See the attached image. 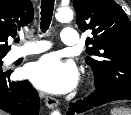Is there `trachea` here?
Returning <instances> with one entry per match:
<instances>
[{"instance_id": "1", "label": "trachea", "mask_w": 131, "mask_h": 115, "mask_svg": "<svg viewBox=\"0 0 131 115\" xmlns=\"http://www.w3.org/2000/svg\"><path fill=\"white\" fill-rule=\"evenodd\" d=\"M54 9V0H42L41 2V31L46 32L50 26ZM19 42V38L15 39Z\"/></svg>"}]
</instances>
